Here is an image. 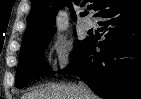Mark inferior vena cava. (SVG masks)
Here are the masks:
<instances>
[{"label":"inferior vena cava","instance_id":"602c4592","mask_svg":"<svg viewBox=\"0 0 141 99\" xmlns=\"http://www.w3.org/2000/svg\"><path fill=\"white\" fill-rule=\"evenodd\" d=\"M78 88L83 95L84 99H92L93 98V92L89 89L87 84L83 81H79Z\"/></svg>","mask_w":141,"mask_h":99}]
</instances>
